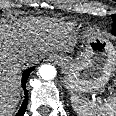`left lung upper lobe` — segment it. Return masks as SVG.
<instances>
[{
	"instance_id": "1",
	"label": "left lung upper lobe",
	"mask_w": 116,
	"mask_h": 116,
	"mask_svg": "<svg viewBox=\"0 0 116 116\" xmlns=\"http://www.w3.org/2000/svg\"><path fill=\"white\" fill-rule=\"evenodd\" d=\"M112 19H113V30H112V33L116 35V15H113Z\"/></svg>"
}]
</instances>
